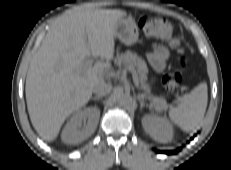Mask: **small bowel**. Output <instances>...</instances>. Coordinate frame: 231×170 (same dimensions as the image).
Segmentation results:
<instances>
[{"label":"small bowel","mask_w":231,"mask_h":170,"mask_svg":"<svg viewBox=\"0 0 231 170\" xmlns=\"http://www.w3.org/2000/svg\"><path fill=\"white\" fill-rule=\"evenodd\" d=\"M169 57V51L162 45H156L154 51L149 55V60L158 72L163 71L166 61Z\"/></svg>","instance_id":"1"}]
</instances>
